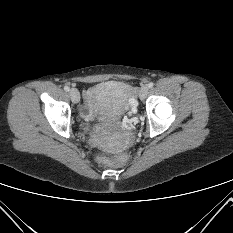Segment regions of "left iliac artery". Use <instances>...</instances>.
<instances>
[{
	"label": "left iliac artery",
	"mask_w": 233,
	"mask_h": 233,
	"mask_svg": "<svg viewBox=\"0 0 233 233\" xmlns=\"http://www.w3.org/2000/svg\"><path fill=\"white\" fill-rule=\"evenodd\" d=\"M154 86V83L153 82H150L149 84H148V87L149 88H152Z\"/></svg>",
	"instance_id": "1"
}]
</instances>
